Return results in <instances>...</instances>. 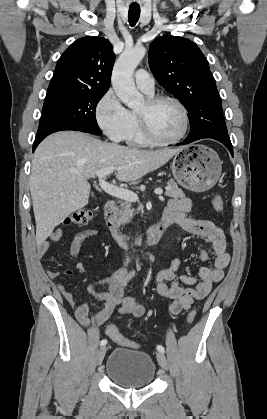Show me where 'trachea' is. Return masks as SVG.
Segmentation results:
<instances>
[{
  "label": "trachea",
  "instance_id": "obj_1",
  "mask_svg": "<svg viewBox=\"0 0 267 419\" xmlns=\"http://www.w3.org/2000/svg\"><path fill=\"white\" fill-rule=\"evenodd\" d=\"M140 17V7H129V11H128V21L129 24L133 27L136 25V23L138 22Z\"/></svg>",
  "mask_w": 267,
  "mask_h": 419
}]
</instances>
